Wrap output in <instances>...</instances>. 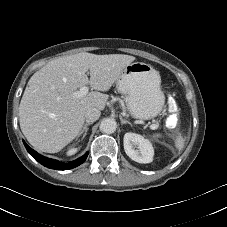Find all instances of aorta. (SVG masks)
<instances>
[{"mask_svg": "<svg viewBox=\"0 0 227 227\" xmlns=\"http://www.w3.org/2000/svg\"><path fill=\"white\" fill-rule=\"evenodd\" d=\"M117 124L112 118H105L100 123V131L106 134H112L116 131Z\"/></svg>", "mask_w": 227, "mask_h": 227, "instance_id": "obj_1", "label": "aorta"}]
</instances>
